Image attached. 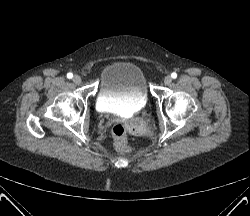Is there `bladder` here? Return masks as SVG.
<instances>
[{
	"mask_svg": "<svg viewBox=\"0 0 250 216\" xmlns=\"http://www.w3.org/2000/svg\"><path fill=\"white\" fill-rule=\"evenodd\" d=\"M148 101V89L142 70L133 63L115 62L101 73L96 104L111 113H136Z\"/></svg>",
	"mask_w": 250,
	"mask_h": 216,
	"instance_id": "31cf9c89",
	"label": "bladder"
}]
</instances>
